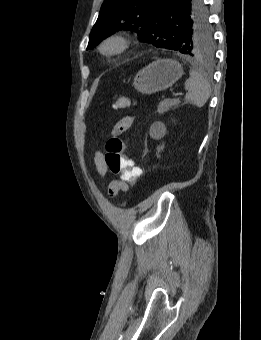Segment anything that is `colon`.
Segmentation results:
<instances>
[{
	"mask_svg": "<svg viewBox=\"0 0 261 340\" xmlns=\"http://www.w3.org/2000/svg\"><path fill=\"white\" fill-rule=\"evenodd\" d=\"M131 105L130 99L119 97L113 103L115 109H122ZM105 162L109 169L116 174L121 175V179L128 185H137L141 175L140 168L134 166L131 159L123 154L125 143L117 137L109 139L106 143Z\"/></svg>",
	"mask_w": 261,
	"mask_h": 340,
	"instance_id": "1",
	"label": "colon"
}]
</instances>
